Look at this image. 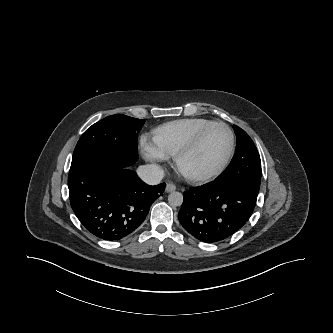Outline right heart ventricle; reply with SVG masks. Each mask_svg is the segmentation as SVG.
I'll return each mask as SVG.
<instances>
[{
  "label": "right heart ventricle",
  "mask_w": 333,
  "mask_h": 333,
  "mask_svg": "<svg viewBox=\"0 0 333 333\" xmlns=\"http://www.w3.org/2000/svg\"><path fill=\"white\" fill-rule=\"evenodd\" d=\"M213 120L195 117L174 120L157 127L153 132L155 146L166 156H173Z\"/></svg>",
  "instance_id": "right-heart-ventricle-1"
}]
</instances>
